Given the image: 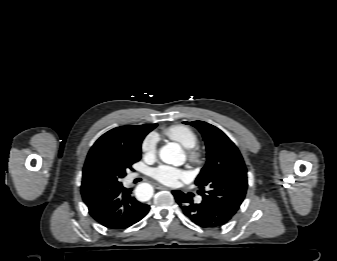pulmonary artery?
Returning <instances> with one entry per match:
<instances>
[{"label": "pulmonary artery", "instance_id": "obj_1", "mask_svg": "<svg viewBox=\"0 0 337 261\" xmlns=\"http://www.w3.org/2000/svg\"><path fill=\"white\" fill-rule=\"evenodd\" d=\"M202 201V198L201 197H198L197 199H196V202L197 203H200Z\"/></svg>", "mask_w": 337, "mask_h": 261}]
</instances>
